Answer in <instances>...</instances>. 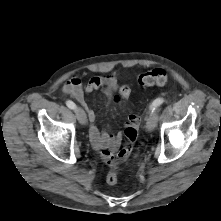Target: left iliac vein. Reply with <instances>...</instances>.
Returning <instances> with one entry per match:
<instances>
[{
    "instance_id": "1",
    "label": "left iliac vein",
    "mask_w": 221,
    "mask_h": 221,
    "mask_svg": "<svg viewBox=\"0 0 221 221\" xmlns=\"http://www.w3.org/2000/svg\"><path fill=\"white\" fill-rule=\"evenodd\" d=\"M157 121H158L157 113L156 112L150 113L145 126L146 131L152 132L157 126Z\"/></svg>"
}]
</instances>
